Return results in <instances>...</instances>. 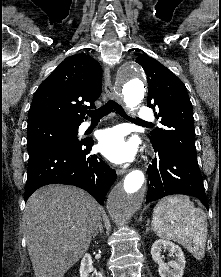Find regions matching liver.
<instances>
[{
	"mask_svg": "<svg viewBox=\"0 0 221 277\" xmlns=\"http://www.w3.org/2000/svg\"><path fill=\"white\" fill-rule=\"evenodd\" d=\"M101 207L84 190L49 185L28 199L23 215L35 277H63L89 248Z\"/></svg>",
	"mask_w": 221,
	"mask_h": 277,
	"instance_id": "6515ba94",
	"label": "liver"
}]
</instances>
